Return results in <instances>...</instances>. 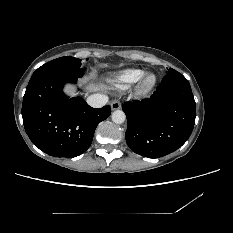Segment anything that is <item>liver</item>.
Returning a JSON list of instances; mask_svg holds the SVG:
<instances>
[{
    "label": "liver",
    "instance_id": "1",
    "mask_svg": "<svg viewBox=\"0 0 233 233\" xmlns=\"http://www.w3.org/2000/svg\"><path fill=\"white\" fill-rule=\"evenodd\" d=\"M86 82H87V80L83 81V83H86ZM96 88L97 87L95 85H93V84H89L88 87H87V89L89 91H94V90H96ZM64 91H65V93L67 95L73 96L74 92H75V88L73 86H71V85H66L65 88H64Z\"/></svg>",
    "mask_w": 233,
    "mask_h": 233
}]
</instances>
